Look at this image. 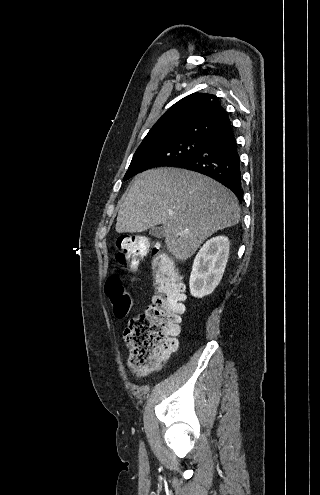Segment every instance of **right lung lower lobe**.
<instances>
[{"label":"right lung lower lobe","instance_id":"right-lung-lower-lobe-1","mask_svg":"<svg viewBox=\"0 0 320 495\" xmlns=\"http://www.w3.org/2000/svg\"><path fill=\"white\" fill-rule=\"evenodd\" d=\"M174 167L207 175L228 187L240 202L243 200L241 163L231 124L208 136L192 157Z\"/></svg>","mask_w":320,"mask_h":495}]
</instances>
